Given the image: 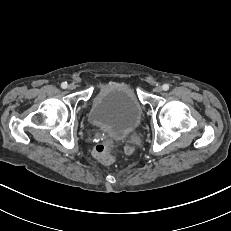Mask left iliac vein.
Wrapping results in <instances>:
<instances>
[{"label":"left iliac vein","mask_w":231,"mask_h":231,"mask_svg":"<svg viewBox=\"0 0 231 231\" xmlns=\"http://www.w3.org/2000/svg\"><path fill=\"white\" fill-rule=\"evenodd\" d=\"M163 88L160 86V85H157L155 88H154V91L157 92V93H160L162 92Z\"/></svg>","instance_id":"1"}]
</instances>
